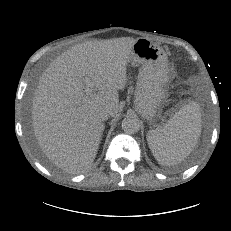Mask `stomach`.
Returning <instances> with one entry per match:
<instances>
[{
  "label": "stomach",
  "mask_w": 231,
  "mask_h": 231,
  "mask_svg": "<svg viewBox=\"0 0 231 231\" xmlns=\"http://www.w3.org/2000/svg\"><path fill=\"white\" fill-rule=\"evenodd\" d=\"M129 62L141 67L135 90V109L144 119L152 121L159 115L167 97L170 80L167 55L151 40L138 38L132 45Z\"/></svg>",
  "instance_id": "obj_1"
}]
</instances>
